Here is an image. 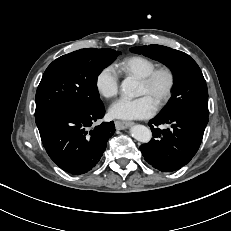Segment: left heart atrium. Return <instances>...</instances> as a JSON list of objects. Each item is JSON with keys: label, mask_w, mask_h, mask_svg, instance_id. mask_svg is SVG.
<instances>
[{"label": "left heart atrium", "mask_w": 231, "mask_h": 231, "mask_svg": "<svg viewBox=\"0 0 231 231\" xmlns=\"http://www.w3.org/2000/svg\"><path fill=\"white\" fill-rule=\"evenodd\" d=\"M156 105L147 95L136 98L122 97L114 102L109 113L112 117L123 120L143 119L154 114Z\"/></svg>", "instance_id": "left-heart-atrium-1"}]
</instances>
